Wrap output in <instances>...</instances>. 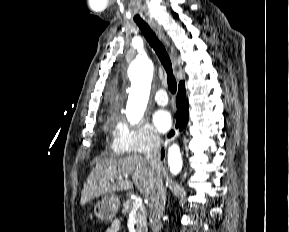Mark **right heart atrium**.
Segmentation results:
<instances>
[{"label":"right heart atrium","mask_w":289,"mask_h":232,"mask_svg":"<svg viewBox=\"0 0 289 232\" xmlns=\"http://www.w3.org/2000/svg\"><path fill=\"white\" fill-rule=\"evenodd\" d=\"M161 138L150 124L130 126L124 120L116 121L112 149L118 154H143L160 147Z\"/></svg>","instance_id":"1"}]
</instances>
